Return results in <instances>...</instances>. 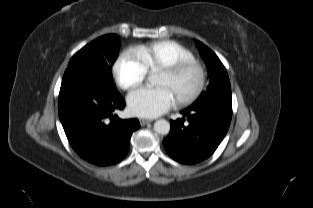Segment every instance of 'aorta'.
<instances>
[{
    "label": "aorta",
    "instance_id": "aorta-1",
    "mask_svg": "<svg viewBox=\"0 0 313 208\" xmlns=\"http://www.w3.org/2000/svg\"><path fill=\"white\" fill-rule=\"evenodd\" d=\"M148 80L151 82V83H154L155 82V76L153 74H151L149 77H148ZM154 130L158 133V134H161V135H166L169 133L170 131V123L164 119H160V120H157L155 123H154Z\"/></svg>",
    "mask_w": 313,
    "mask_h": 208
}]
</instances>
